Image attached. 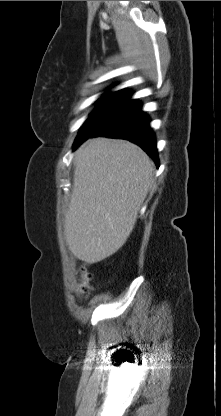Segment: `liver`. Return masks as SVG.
I'll list each match as a JSON object with an SVG mask.
<instances>
[{
    "label": "liver",
    "instance_id": "6515ba94",
    "mask_svg": "<svg viewBox=\"0 0 221 416\" xmlns=\"http://www.w3.org/2000/svg\"><path fill=\"white\" fill-rule=\"evenodd\" d=\"M75 160L64 235L73 255L93 264L128 239L154 182V163L137 145L105 137L83 143Z\"/></svg>",
    "mask_w": 221,
    "mask_h": 416
}]
</instances>
